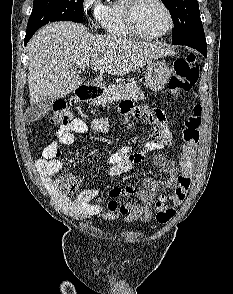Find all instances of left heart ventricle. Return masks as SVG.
Returning <instances> with one entry per match:
<instances>
[{
	"label": "left heart ventricle",
	"mask_w": 233,
	"mask_h": 294,
	"mask_svg": "<svg viewBox=\"0 0 233 294\" xmlns=\"http://www.w3.org/2000/svg\"><path fill=\"white\" fill-rule=\"evenodd\" d=\"M137 21L148 34L161 33L168 27L167 14L155 0H142L137 8Z\"/></svg>",
	"instance_id": "left-heart-ventricle-1"
}]
</instances>
